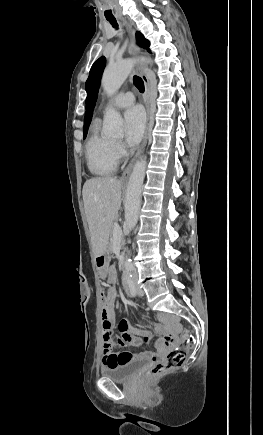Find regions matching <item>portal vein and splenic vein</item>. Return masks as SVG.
Here are the masks:
<instances>
[{"instance_id":"18ae733b","label":"portal vein and splenic vein","mask_w":263,"mask_h":435,"mask_svg":"<svg viewBox=\"0 0 263 435\" xmlns=\"http://www.w3.org/2000/svg\"><path fill=\"white\" fill-rule=\"evenodd\" d=\"M113 237L116 240H120L122 237V230L118 224H114L113 226Z\"/></svg>"}]
</instances>
